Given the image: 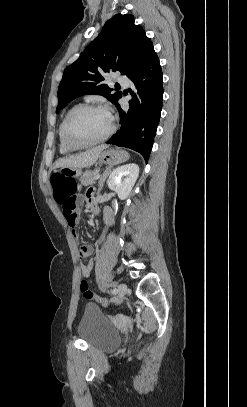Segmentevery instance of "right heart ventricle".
<instances>
[{
	"label": "right heart ventricle",
	"instance_id": "obj_1",
	"mask_svg": "<svg viewBox=\"0 0 247 407\" xmlns=\"http://www.w3.org/2000/svg\"><path fill=\"white\" fill-rule=\"evenodd\" d=\"M73 108H74V107L70 108V109L64 114L63 118L61 119V121H60V123H59L58 130H57V133H58V140H59V150H60V152H61L62 154H69V153H72V152L75 150V149H72V148L68 147V146L65 144V142H64V140H63V136H62V129H63L64 121H65L67 115L70 113V111H71Z\"/></svg>",
	"mask_w": 247,
	"mask_h": 407
}]
</instances>
